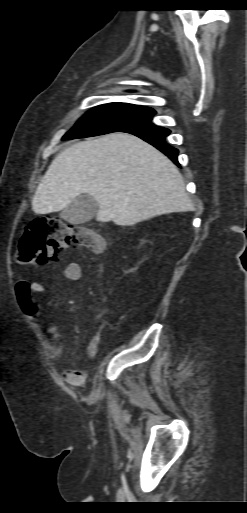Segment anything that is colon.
Masks as SVG:
<instances>
[{"mask_svg": "<svg viewBox=\"0 0 247 513\" xmlns=\"http://www.w3.org/2000/svg\"><path fill=\"white\" fill-rule=\"evenodd\" d=\"M105 238L84 226L71 225L61 219L44 217L31 221L24 229L17 246V259L23 264H43L55 261L69 247H86L102 251ZM99 341L92 342L97 350Z\"/></svg>", "mask_w": 247, "mask_h": 513, "instance_id": "1", "label": "colon"}]
</instances>
